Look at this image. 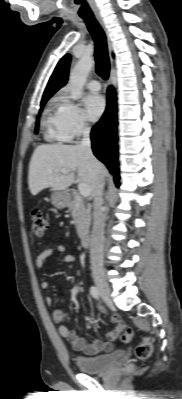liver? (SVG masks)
Masks as SVG:
<instances>
[{"instance_id": "obj_1", "label": "liver", "mask_w": 182, "mask_h": 399, "mask_svg": "<svg viewBox=\"0 0 182 399\" xmlns=\"http://www.w3.org/2000/svg\"><path fill=\"white\" fill-rule=\"evenodd\" d=\"M68 171L64 174L62 171ZM77 172L81 183L94 193L98 176L105 177L107 170L96 158L93 160L79 145L43 144L36 147L29 164L28 184L32 195L45 188L67 190Z\"/></svg>"}]
</instances>
